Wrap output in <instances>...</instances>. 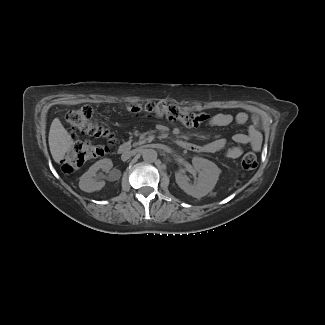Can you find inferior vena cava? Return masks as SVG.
Instances as JSON below:
<instances>
[{
    "label": "inferior vena cava",
    "mask_w": 325,
    "mask_h": 325,
    "mask_svg": "<svg viewBox=\"0 0 325 325\" xmlns=\"http://www.w3.org/2000/svg\"><path fill=\"white\" fill-rule=\"evenodd\" d=\"M131 155H132L131 152L124 153V154H122L121 159L123 161H126L127 159H129L131 157Z\"/></svg>",
    "instance_id": "obj_1"
}]
</instances>
